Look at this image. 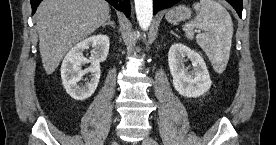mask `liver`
Instances as JSON below:
<instances>
[{"label": "liver", "mask_w": 276, "mask_h": 145, "mask_svg": "<svg viewBox=\"0 0 276 145\" xmlns=\"http://www.w3.org/2000/svg\"><path fill=\"white\" fill-rule=\"evenodd\" d=\"M110 17L105 0H43L35 13L39 50L47 75L52 74L67 51Z\"/></svg>", "instance_id": "6515ba94"}]
</instances>
